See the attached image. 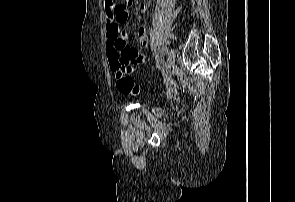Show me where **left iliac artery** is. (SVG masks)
Masks as SVG:
<instances>
[{
  "label": "left iliac artery",
  "mask_w": 295,
  "mask_h": 202,
  "mask_svg": "<svg viewBox=\"0 0 295 202\" xmlns=\"http://www.w3.org/2000/svg\"><path fill=\"white\" fill-rule=\"evenodd\" d=\"M166 53H167V50L166 49H163L162 50V54L165 55Z\"/></svg>",
  "instance_id": "obj_1"
}]
</instances>
